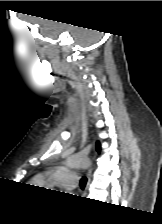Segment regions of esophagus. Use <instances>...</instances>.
<instances>
[{"instance_id":"1","label":"esophagus","mask_w":162,"mask_h":224,"mask_svg":"<svg viewBox=\"0 0 162 224\" xmlns=\"http://www.w3.org/2000/svg\"><path fill=\"white\" fill-rule=\"evenodd\" d=\"M90 176H91V169H89L88 172H87V183H86V187H85V194H86L87 189H88L89 184H90Z\"/></svg>"}]
</instances>
